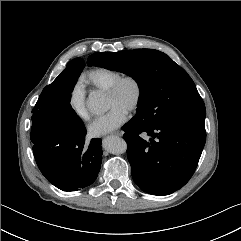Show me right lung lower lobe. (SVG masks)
Segmentation results:
<instances>
[{"mask_svg":"<svg viewBox=\"0 0 241 241\" xmlns=\"http://www.w3.org/2000/svg\"><path fill=\"white\" fill-rule=\"evenodd\" d=\"M55 134L31 132L33 153L41 173L63 191H76L91 185L98 176L102 162V140L95 138L87 145L86 129L72 134V137L58 132Z\"/></svg>","mask_w":241,"mask_h":241,"instance_id":"right-lung-lower-lobe-1","label":"right lung lower lobe"}]
</instances>
